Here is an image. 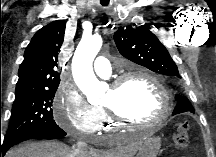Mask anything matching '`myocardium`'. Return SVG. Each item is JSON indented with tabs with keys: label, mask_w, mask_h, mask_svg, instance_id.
I'll return each instance as SVG.
<instances>
[{
	"label": "myocardium",
	"mask_w": 216,
	"mask_h": 157,
	"mask_svg": "<svg viewBox=\"0 0 216 157\" xmlns=\"http://www.w3.org/2000/svg\"><path fill=\"white\" fill-rule=\"evenodd\" d=\"M134 77L146 79L150 81L157 88L162 99V107L158 116L155 119L150 121L133 120L119 113L115 107L110 106L108 104H103V107L105 108V111L109 115L110 119L115 125L126 124V125H132L136 127L155 126L163 123L167 119L170 113V95L168 90L165 88V86L152 74L140 69L126 72L118 76L112 81L110 85V89L116 93L121 89V87L124 85V83L127 80Z\"/></svg>",
	"instance_id": "1"
}]
</instances>
